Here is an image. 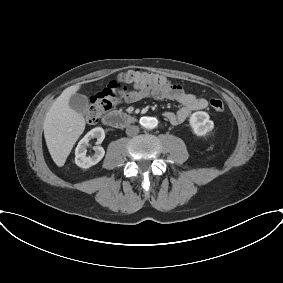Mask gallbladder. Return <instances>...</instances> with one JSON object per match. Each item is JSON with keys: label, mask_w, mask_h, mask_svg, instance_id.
<instances>
[{"label": "gallbladder", "mask_w": 283, "mask_h": 283, "mask_svg": "<svg viewBox=\"0 0 283 283\" xmlns=\"http://www.w3.org/2000/svg\"><path fill=\"white\" fill-rule=\"evenodd\" d=\"M69 106L75 112L84 115L87 112L88 99L85 95H81L78 93L72 94L69 99Z\"/></svg>", "instance_id": "obj_1"}]
</instances>
